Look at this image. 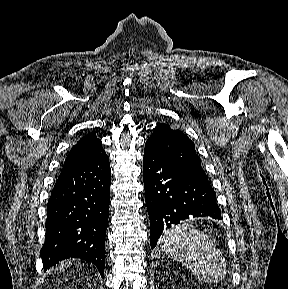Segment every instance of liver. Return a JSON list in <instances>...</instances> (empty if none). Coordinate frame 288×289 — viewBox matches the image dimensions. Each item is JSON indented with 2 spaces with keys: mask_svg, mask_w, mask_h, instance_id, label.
I'll use <instances>...</instances> for the list:
<instances>
[{
  "mask_svg": "<svg viewBox=\"0 0 288 289\" xmlns=\"http://www.w3.org/2000/svg\"><path fill=\"white\" fill-rule=\"evenodd\" d=\"M61 267H69L70 266V261H65V262H62L60 264Z\"/></svg>",
  "mask_w": 288,
  "mask_h": 289,
  "instance_id": "1",
  "label": "liver"
}]
</instances>
